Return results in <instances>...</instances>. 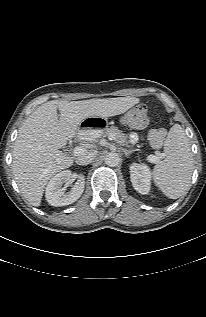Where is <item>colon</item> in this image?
Returning a JSON list of instances; mask_svg holds the SVG:
<instances>
[{"label": "colon", "mask_w": 206, "mask_h": 317, "mask_svg": "<svg viewBox=\"0 0 206 317\" xmlns=\"http://www.w3.org/2000/svg\"><path fill=\"white\" fill-rule=\"evenodd\" d=\"M122 123L126 126L133 128H143L148 123V113L147 108L144 105H138L122 117ZM166 135V130L164 128H158L151 131L149 139L154 147H159Z\"/></svg>", "instance_id": "5ec220e1"}]
</instances>
